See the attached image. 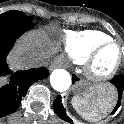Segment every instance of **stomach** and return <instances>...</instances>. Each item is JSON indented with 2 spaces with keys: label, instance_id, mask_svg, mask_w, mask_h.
<instances>
[{
  "label": "stomach",
  "instance_id": "stomach-1",
  "mask_svg": "<svg viewBox=\"0 0 124 124\" xmlns=\"http://www.w3.org/2000/svg\"><path fill=\"white\" fill-rule=\"evenodd\" d=\"M74 93L76 96H80V97H86V96L97 97L98 95H107L112 99L113 102L115 99L114 90L112 88L107 86H99V87L93 86L84 80H81L76 83L74 87Z\"/></svg>",
  "mask_w": 124,
  "mask_h": 124
}]
</instances>
